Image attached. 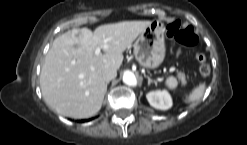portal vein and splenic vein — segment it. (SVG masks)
I'll list each match as a JSON object with an SVG mask.
<instances>
[{
	"instance_id": "18ae733b",
	"label": "portal vein and splenic vein",
	"mask_w": 247,
	"mask_h": 145,
	"mask_svg": "<svg viewBox=\"0 0 247 145\" xmlns=\"http://www.w3.org/2000/svg\"><path fill=\"white\" fill-rule=\"evenodd\" d=\"M108 41V39H106L104 42L106 43ZM101 49L102 47H97L96 50H95V55L96 56H99L101 54Z\"/></svg>"
}]
</instances>
